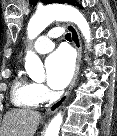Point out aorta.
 <instances>
[{
    "instance_id": "obj_1",
    "label": "aorta",
    "mask_w": 117,
    "mask_h": 136,
    "mask_svg": "<svg viewBox=\"0 0 117 136\" xmlns=\"http://www.w3.org/2000/svg\"><path fill=\"white\" fill-rule=\"evenodd\" d=\"M53 21H70L75 23L87 43L91 41L90 27L84 16L75 8L65 5H49L38 10L30 19L27 27L29 39H35ZM25 69L32 79L44 77V67L40 58L32 51L25 57ZM63 115L59 112L50 122L45 136H59Z\"/></svg>"
}]
</instances>
